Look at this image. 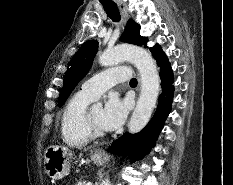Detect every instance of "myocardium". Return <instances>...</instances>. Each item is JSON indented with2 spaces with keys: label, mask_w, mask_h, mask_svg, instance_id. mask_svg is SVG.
I'll return each instance as SVG.
<instances>
[{
  "label": "myocardium",
  "mask_w": 233,
  "mask_h": 185,
  "mask_svg": "<svg viewBox=\"0 0 233 185\" xmlns=\"http://www.w3.org/2000/svg\"><path fill=\"white\" fill-rule=\"evenodd\" d=\"M85 125L91 138H102L106 136V131L99 129L93 122L90 111H86Z\"/></svg>",
  "instance_id": "obj_1"
}]
</instances>
